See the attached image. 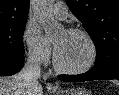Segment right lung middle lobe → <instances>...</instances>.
I'll list each match as a JSON object with an SVG mask.
<instances>
[{
    "label": "right lung middle lobe",
    "instance_id": "right-lung-middle-lobe-1",
    "mask_svg": "<svg viewBox=\"0 0 119 95\" xmlns=\"http://www.w3.org/2000/svg\"><path fill=\"white\" fill-rule=\"evenodd\" d=\"M26 21L0 25V56L24 55L22 35Z\"/></svg>",
    "mask_w": 119,
    "mask_h": 95
}]
</instances>
